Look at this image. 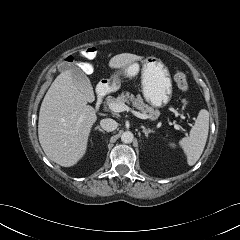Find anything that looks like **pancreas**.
<instances>
[{"label": "pancreas", "mask_w": 240, "mask_h": 240, "mask_svg": "<svg viewBox=\"0 0 240 240\" xmlns=\"http://www.w3.org/2000/svg\"><path fill=\"white\" fill-rule=\"evenodd\" d=\"M112 103H127L132 104L143 114L148 115L151 120H155L159 116V111L144 103L140 95L135 97L130 92H123L117 98L109 97L106 99V104L110 107Z\"/></svg>", "instance_id": "obj_1"}]
</instances>
